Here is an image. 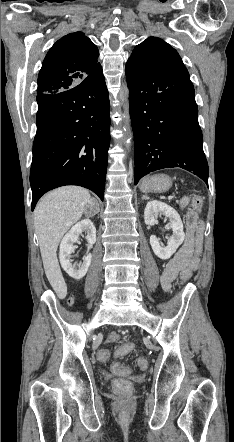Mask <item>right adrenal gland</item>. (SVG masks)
Returning a JSON list of instances; mask_svg holds the SVG:
<instances>
[{
	"label": "right adrenal gland",
	"mask_w": 234,
	"mask_h": 442,
	"mask_svg": "<svg viewBox=\"0 0 234 442\" xmlns=\"http://www.w3.org/2000/svg\"><path fill=\"white\" fill-rule=\"evenodd\" d=\"M89 203H95V204H96V208H97V213H99L100 209H99V204H98V202H97L94 198H91V200H90Z\"/></svg>",
	"instance_id": "2a0ac1e0"
}]
</instances>
